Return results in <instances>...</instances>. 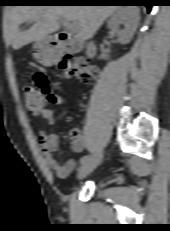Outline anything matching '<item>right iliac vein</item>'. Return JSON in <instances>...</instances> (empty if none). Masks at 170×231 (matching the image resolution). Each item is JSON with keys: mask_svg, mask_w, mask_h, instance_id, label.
Returning <instances> with one entry per match:
<instances>
[{"mask_svg": "<svg viewBox=\"0 0 170 231\" xmlns=\"http://www.w3.org/2000/svg\"><path fill=\"white\" fill-rule=\"evenodd\" d=\"M102 158V152H98L92 157H90V159L79 168L78 179L81 180L85 178L87 175H89L100 164Z\"/></svg>", "mask_w": 170, "mask_h": 231, "instance_id": "1", "label": "right iliac vein"}]
</instances>
